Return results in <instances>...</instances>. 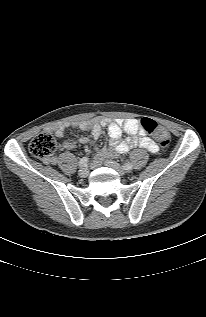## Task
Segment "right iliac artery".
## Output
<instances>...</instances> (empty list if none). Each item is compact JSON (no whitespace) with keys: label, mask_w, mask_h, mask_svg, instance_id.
<instances>
[{"label":"right iliac artery","mask_w":206,"mask_h":317,"mask_svg":"<svg viewBox=\"0 0 206 317\" xmlns=\"http://www.w3.org/2000/svg\"><path fill=\"white\" fill-rule=\"evenodd\" d=\"M89 158L88 157H83L79 161V167H86L88 164Z\"/></svg>","instance_id":"obj_1"}]
</instances>
